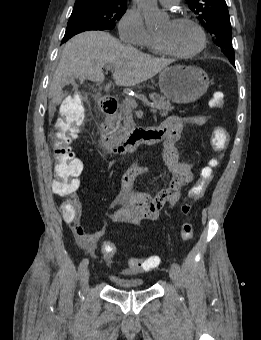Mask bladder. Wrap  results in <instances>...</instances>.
I'll list each match as a JSON object with an SVG mask.
<instances>
[{
  "label": "bladder",
  "instance_id": "1",
  "mask_svg": "<svg viewBox=\"0 0 261 340\" xmlns=\"http://www.w3.org/2000/svg\"><path fill=\"white\" fill-rule=\"evenodd\" d=\"M110 280L119 289L132 290L144 288V283L141 278H127L118 275H111Z\"/></svg>",
  "mask_w": 261,
  "mask_h": 340
}]
</instances>
